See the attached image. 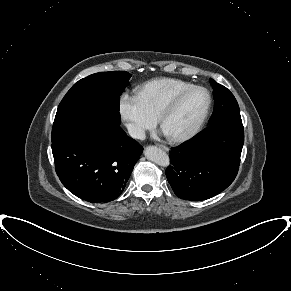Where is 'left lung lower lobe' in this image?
<instances>
[{"mask_svg": "<svg viewBox=\"0 0 291 291\" xmlns=\"http://www.w3.org/2000/svg\"><path fill=\"white\" fill-rule=\"evenodd\" d=\"M244 143L242 121L221 120L170 151L166 177L177 197L203 200L235 179Z\"/></svg>", "mask_w": 291, "mask_h": 291, "instance_id": "1", "label": "left lung lower lobe"}]
</instances>
